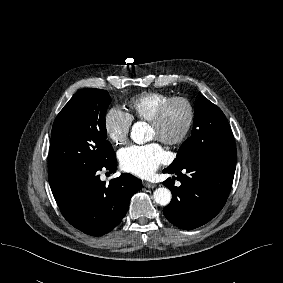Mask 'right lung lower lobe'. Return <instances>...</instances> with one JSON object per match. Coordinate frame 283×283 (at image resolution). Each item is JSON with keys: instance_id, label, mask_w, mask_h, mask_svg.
<instances>
[{"instance_id": "1", "label": "right lung lower lobe", "mask_w": 283, "mask_h": 283, "mask_svg": "<svg viewBox=\"0 0 283 283\" xmlns=\"http://www.w3.org/2000/svg\"><path fill=\"white\" fill-rule=\"evenodd\" d=\"M116 167L114 155L101 167L50 185L63 216L72 226L86 234L101 236L121 222L132 195L141 189L142 182L128 173L112 179L109 184L100 180L99 171L115 172Z\"/></svg>"}]
</instances>
